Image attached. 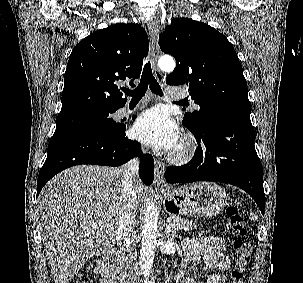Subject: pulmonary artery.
I'll return each instance as SVG.
<instances>
[{
    "label": "pulmonary artery",
    "mask_w": 303,
    "mask_h": 283,
    "mask_svg": "<svg viewBox=\"0 0 303 283\" xmlns=\"http://www.w3.org/2000/svg\"><path fill=\"white\" fill-rule=\"evenodd\" d=\"M167 93V97L168 98H183L185 97V91L184 89H182L181 87H177V86H169L166 89ZM143 106V104H138L137 106L131 108L129 106H124L119 110V116L120 117H124L127 115L132 114L133 112H135L136 110H138L139 108H141ZM195 107H198L197 105H194Z\"/></svg>",
    "instance_id": "1"
}]
</instances>
